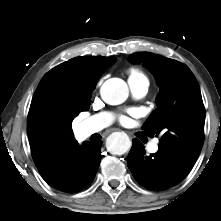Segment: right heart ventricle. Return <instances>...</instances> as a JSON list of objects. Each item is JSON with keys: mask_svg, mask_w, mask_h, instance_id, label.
I'll list each match as a JSON object with an SVG mask.
<instances>
[{"mask_svg": "<svg viewBox=\"0 0 221 221\" xmlns=\"http://www.w3.org/2000/svg\"><path fill=\"white\" fill-rule=\"evenodd\" d=\"M129 78H146L145 74L138 68L129 69Z\"/></svg>", "mask_w": 221, "mask_h": 221, "instance_id": "1", "label": "right heart ventricle"}]
</instances>
